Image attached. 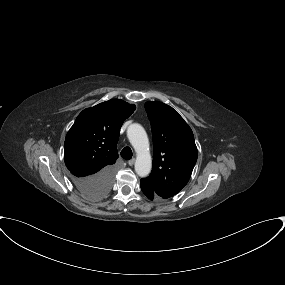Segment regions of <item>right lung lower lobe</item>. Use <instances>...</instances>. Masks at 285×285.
<instances>
[{"mask_svg": "<svg viewBox=\"0 0 285 285\" xmlns=\"http://www.w3.org/2000/svg\"><path fill=\"white\" fill-rule=\"evenodd\" d=\"M115 172L116 168L112 165L91 176H72V181L76 188L87 197L107 194L112 187Z\"/></svg>", "mask_w": 285, "mask_h": 285, "instance_id": "obj_1", "label": "right lung lower lobe"}]
</instances>
